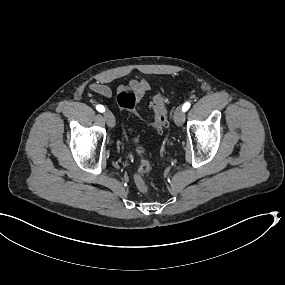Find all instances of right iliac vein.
Returning a JSON list of instances; mask_svg holds the SVG:
<instances>
[{
	"mask_svg": "<svg viewBox=\"0 0 285 285\" xmlns=\"http://www.w3.org/2000/svg\"><path fill=\"white\" fill-rule=\"evenodd\" d=\"M104 118L107 122V124L113 128L115 126V117L110 111H105L104 112Z\"/></svg>",
	"mask_w": 285,
	"mask_h": 285,
	"instance_id": "63e3f726",
	"label": "right iliac vein"
}]
</instances>
